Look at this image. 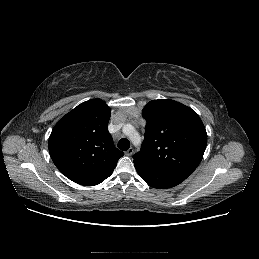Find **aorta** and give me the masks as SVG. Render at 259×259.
<instances>
[{"label":"aorta","mask_w":259,"mask_h":259,"mask_svg":"<svg viewBox=\"0 0 259 259\" xmlns=\"http://www.w3.org/2000/svg\"><path fill=\"white\" fill-rule=\"evenodd\" d=\"M132 129H133L132 125L127 124L124 126V133H126L127 135L130 136V138L134 144H139L140 140H141L140 135L136 132H134L133 134H129V131Z\"/></svg>","instance_id":"aorta-1"}]
</instances>
